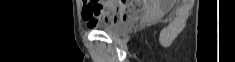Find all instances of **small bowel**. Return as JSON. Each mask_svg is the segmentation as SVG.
I'll use <instances>...</instances> for the list:
<instances>
[{
    "label": "small bowel",
    "mask_w": 235,
    "mask_h": 62,
    "mask_svg": "<svg viewBox=\"0 0 235 62\" xmlns=\"http://www.w3.org/2000/svg\"><path fill=\"white\" fill-rule=\"evenodd\" d=\"M136 5L137 3L135 2L124 3V6H126L130 10H133ZM114 12L115 3L111 1L104 3L102 6H93L89 3H84L82 9V18L87 23V26L89 28H93L101 22L116 21Z\"/></svg>",
    "instance_id": "1"
}]
</instances>
